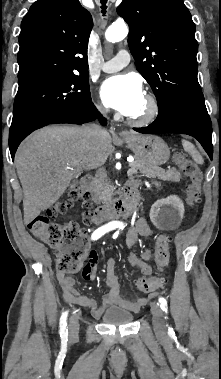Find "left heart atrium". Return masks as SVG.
Segmentation results:
<instances>
[{
  "label": "left heart atrium",
  "instance_id": "39dd6f15",
  "mask_svg": "<svg viewBox=\"0 0 221 379\" xmlns=\"http://www.w3.org/2000/svg\"><path fill=\"white\" fill-rule=\"evenodd\" d=\"M104 103L125 116L134 115L144 101L141 82L133 75H117L101 86Z\"/></svg>",
  "mask_w": 221,
  "mask_h": 379
}]
</instances>
